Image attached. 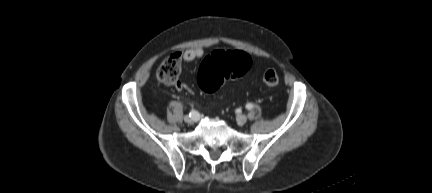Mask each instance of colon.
Masks as SVG:
<instances>
[{
  "label": "colon",
  "mask_w": 432,
  "mask_h": 193,
  "mask_svg": "<svg viewBox=\"0 0 432 193\" xmlns=\"http://www.w3.org/2000/svg\"><path fill=\"white\" fill-rule=\"evenodd\" d=\"M253 63L248 54L242 51H215L207 57L198 73L199 86L213 92L218 89L224 78H235L247 74ZM181 71L180 56L172 54L165 58L157 70L158 79L165 84H175ZM263 82L269 87L279 84V76L274 70L263 75Z\"/></svg>",
  "instance_id": "1"
}]
</instances>
